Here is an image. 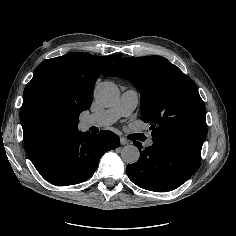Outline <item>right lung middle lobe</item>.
<instances>
[{
    "label": "right lung middle lobe",
    "instance_id": "obj_1",
    "mask_svg": "<svg viewBox=\"0 0 236 236\" xmlns=\"http://www.w3.org/2000/svg\"><path fill=\"white\" fill-rule=\"evenodd\" d=\"M24 114L31 131L44 138L59 135L71 122L68 106L50 93L36 94L26 106Z\"/></svg>",
    "mask_w": 236,
    "mask_h": 236
}]
</instances>
